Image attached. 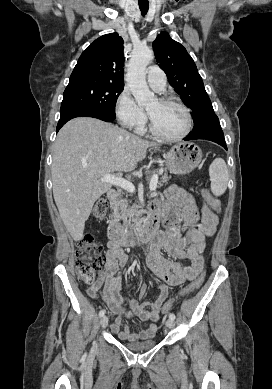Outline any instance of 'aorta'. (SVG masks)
Listing matches in <instances>:
<instances>
[{
  "label": "aorta",
  "instance_id": "aorta-1",
  "mask_svg": "<svg viewBox=\"0 0 272 389\" xmlns=\"http://www.w3.org/2000/svg\"><path fill=\"white\" fill-rule=\"evenodd\" d=\"M153 58V51L149 47H135L127 65L126 80L139 106H146L156 101V97L149 90L145 78L146 67Z\"/></svg>",
  "mask_w": 272,
  "mask_h": 389
}]
</instances>
